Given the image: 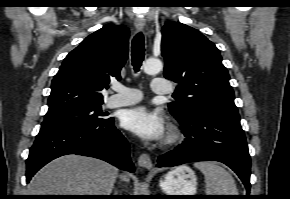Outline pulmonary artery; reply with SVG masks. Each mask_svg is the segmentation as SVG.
<instances>
[{
  "instance_id": "obj_1",
  "label": "pulmonary artery",
  "mask_w": 290,
  "mask_h": 199,
  "mask_svg": "<svg viewBox=\"0 0 290 199\" xmlns=\"http://www.w3.org/2000/svg\"><path fill=\"white\" fill-rule=\"evenodd\" d=\"M151 87L156 94H168L174 89L170 82L163 79H154ZM111 89L114 94L106 100L105 106L108 108L132 105L142 99L141 92L135 88H129L121 84H113Z\"/></svg>"
}]
</instances>
